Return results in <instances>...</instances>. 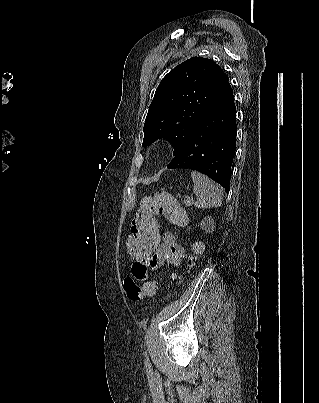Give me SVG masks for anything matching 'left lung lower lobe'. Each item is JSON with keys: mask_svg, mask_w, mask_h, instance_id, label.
I'll use <instances>...</instances> for the list:
<instances>
[{"mask_svg": "<svg viewBox=\"0 0 319 403\" xmlns=\"http://www.w3.org/2000/svg\"><path fill=\"white\" fill-rule=\"evenodd\" d=\"M236 130V107L228 81L195 126L186 147L167 168L199 171L228 192Z\"/></svg>", "mask_w": 319, "mask_h": 403, "instance_id": "left-lung-lower-lobe-1", "label": "left lung lower lobe"}]
</instances>
